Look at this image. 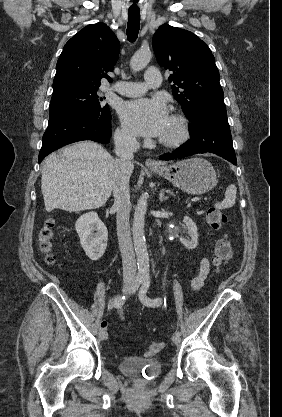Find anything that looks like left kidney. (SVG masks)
<instances>
[{"instance_id":"1","label":"left kidney","mask_w":282,"mask_h":417,"mask_svg":"<svg viewBox=\"0 0 282 417\" xmlns=\"http://www.w3.org/2000/svg\"><path fill=\"white\" fill-rule=\"evenodd\" d=\"M183 223L185 225V229H187V233L190 239L179 237V241H181L182 245H184L186 249H196L198 239L196 223H194L190 217H184Z\"/></svg>"}]
</instances>
